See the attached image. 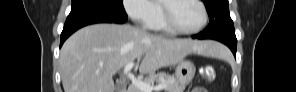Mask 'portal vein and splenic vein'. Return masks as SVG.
<instances>
[{
  "mask_svg": "<svg viewBox=\"0 0 296 92\" xmlns=\"http://www.w3.org/2000/svg\"><path fill=\"white\" fill-rule=\"evenodd\" d=\"M135 66L134 62H130L124 67V74L131 80L132 84L142 90V92H152L153 90H161L166 88L165 83H160L156 86H153L149 83L142 81L141 79H137L130 71Z\"/></svg>",
  "mask_w": 296,
  "mask_h": 92,
  "instance_id": "18ae733b",
  "label": "portal vein and splenic vein"
}]
</instances>
